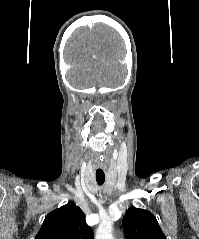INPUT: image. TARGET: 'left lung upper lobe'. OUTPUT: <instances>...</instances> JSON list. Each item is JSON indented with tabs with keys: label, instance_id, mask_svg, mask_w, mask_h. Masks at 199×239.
<instances>
[{
	"label": "left lung upper lobe",
	"instance_id": "left-lung-upper-lobe-1",
	"mask_svg": "<svg viewBox=\"0 0 199 239\" xmlns=\"http://www.w3.org/2000/svg\"><path fill=\"white\" fill-rule=\"evenodd\" d=\"M122 226L127 239H166L155 216L147 210L130 207Z\"/></svg>",
	"mask_w": 199,
	"mask_h": 239
}]
</instances>
